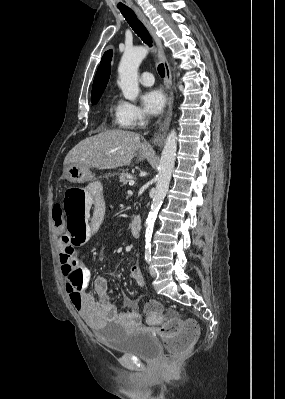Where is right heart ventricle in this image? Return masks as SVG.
<instances>
[{
  "label": "right heart ventricle",
  "mask_w": 285,
  "mask_h": 399,
  "mask_svg": "<svg viewBox=\"0 0 285 399\" xmlns=\"http://www.w3.org/2000/svg\"><path fill=\"white\" fill-rule=\"evenodd\" d=\"M118 108H119V105L116 106L114 103L111 104V109L116 111V117H117ZM117 121H118V120H117ZM119 126H120V127H123V126H121L120 124H119Z\"/></svg>",
  "instance_id": "obj_1"
}]
</instances>
